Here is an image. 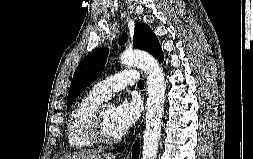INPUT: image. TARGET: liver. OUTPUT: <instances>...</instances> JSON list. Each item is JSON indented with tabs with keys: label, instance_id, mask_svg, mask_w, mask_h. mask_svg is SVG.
Segmentation results:
<instances>
[{
	"label": "liver",
	"instance_id": "obj_1",
	"mask_svg": "<svg viewBox=\"0 0 253 159\" xmlns=\"http://www.w3.org/2000/svg\"><path fill=\"white\" fill-rule=\"evenodd\" d=\"M114 159V156L110 153H104L101 150H81L73 152L72 154L65 155L60 159Z\"/></svg>",
	"mask_w": 253,
	"mask_h": 159
}]
</instances>
